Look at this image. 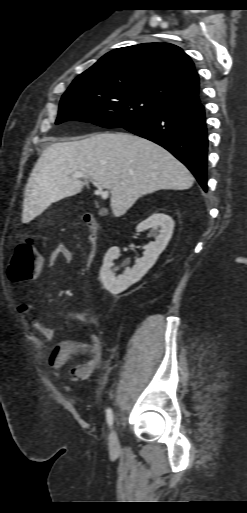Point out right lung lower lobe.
I'll use <instances>...</instances> for the list:
<instances>
[{"instance_id": "1", "label": "right lung lower lobe", "mask_w": 247, "mask_h": 513, "mask_svg": "<svg viewBox=\"0 0 247 513\" xmlns=\"http://www.w3.org/2000/svg\"><path fill=\"white\" fill-rule=\"evenodd\" d=\"M123 128L167 149L187 166L207 191L208 138L205 110L200 100L167 107Z\"/></svg>"}]
</instances>
